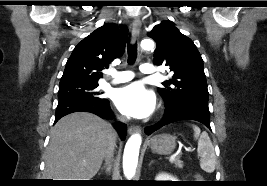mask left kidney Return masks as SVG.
I'll return each mask as SVG.
<instances>
[{"label": "left kidney", "mask_w": 267, "mask_h": 186, "mask_svg": "<svg viewBox=\"0 0 267 186\" xmlns=\"http://www.w3.org/2000/svg\"><path fill=\"white\" fill-rule=\"evenodd\" d=\"M155 181H178V180L172 175H169L167 173H160L156 176Z\"/></svg>", "instance_id": "left-kidney-1"}]
</instances>
